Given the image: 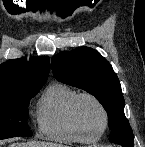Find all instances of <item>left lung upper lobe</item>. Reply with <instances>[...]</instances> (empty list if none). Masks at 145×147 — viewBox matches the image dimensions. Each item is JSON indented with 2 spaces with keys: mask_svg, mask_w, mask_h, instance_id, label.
Segmentation results:
<instances>
[{
  "mask_svg": "<svg viewBox=\"0 0 145 147\" xmlns=\"http://www.w3.org/2000/svg\"><path fill=\"white\" fill-rule=\"evenodd\" d=\"M54 77L95 96L107 111L109 141L124 147L134 146L133 132L124 115L121 85L111 64L89 47L63 51L52 58Z\"/></svg>",
  "mask_w": 145,
  "mask_h": 147,
  "instance_id": "5c2ea615",
  "label": "left lung upper lobe"
}]
</instances>
